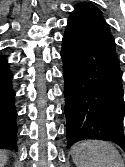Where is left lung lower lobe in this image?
<instances>
[{
    "label": "left lung lower lobe",
    "mask_w": 125,
    "mask_h": 167,
    "mask_svg": "<svg viewBox=\"0 0 125 167\" xmlns=\"http://www.w3.org/2000/svg\"><path fill=\"white\" fill-rule=\"evenodd\" d=\"M61 57L67 147L99 139L125 149L122 71L114 38L102 16L69 19Z\"/></svg>",
    "instance_id": "obj_1"
}]
</instances>
